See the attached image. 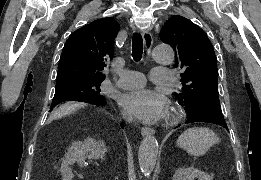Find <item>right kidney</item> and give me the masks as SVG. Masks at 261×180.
I'll list each match as a JSON object with an SVG mask.
<instances>
[{
    "instance_id": "ca27d5eb",
    "label": "right kidney",
    "mask_w": 261,
    "mask_h": 180,
    "mask_svg": "<svg viewBox=\"0 0 261 180\" xmlns=\"http://www.w3.org/2000/svg\"><path fill=\"white\" fill-rule=\"evenodd\" d=\"M106 148L103 140L96 142L93 138H86L84 142H73L70 150H68L66 156L63 158L61 164V174L63 180H71L73 174L70 168L74 162H85L87 156L90 158H104Z\"/></svg>"
}]
</instances>
